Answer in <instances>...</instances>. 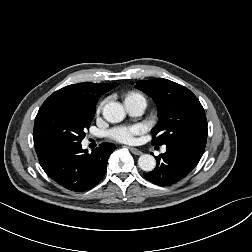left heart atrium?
<instances>
[{"instance_id": "left-heart-atrium-1", "label": "left heart atrium", "mask_w": 252, "mask_h": 252, "mask_svg": "<svg viewBox=\"0 0 252 252\" xmlns=\"http://www.w3.org/2000/svg\"><path fill=\"white\" fill-rule=\"evenodd\" d=\"M143 128L139 125L119 126L109 132V136L119 142L131 144L135 137L142 133Z\"/></svg>"}]
</instances>
